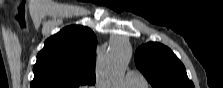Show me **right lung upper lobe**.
<instances>
[{"instance_id": "1", "label": "right lung upper lobe", "mask_w": 223, "mask_h": 88, "mask_svg": "<svg viewBox=\"0 0 223 88\" xmlns=\"http://www.w3.org/2000/svg\"><path fill=\"white\" fill-rule=\"evenodd\" d=\"M97 39L91 29L72 25L45 41L33 67L31 88H86L95 84Z\"/></svg>"}]
</instances>
